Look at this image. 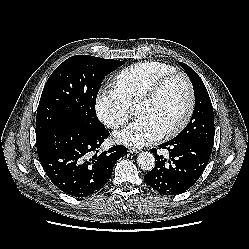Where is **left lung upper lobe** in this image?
Masks as SVG:
<instances>
[{
    "instance_id": "1",
    "label": "left lung upper lobe",
    "mask_w": 249,
    "mask_h": 249,
    "mask_svg": "<svg viewBox=\"0 0 249 249\" xmlns=\"http://www.w3.org/2000/svg\"><path fill=\"white\" fill-rule=\"evenodd\" d=\"M180 65L192 82L195 93V108L190 122L174 139L180 142L199 141L213 146L214 114L207 89L199 75L191 67L183 62H180Z\"/></svg>"
}]
</instances>
